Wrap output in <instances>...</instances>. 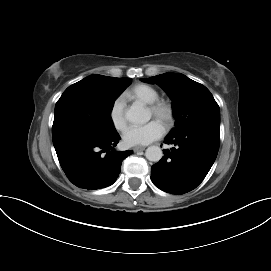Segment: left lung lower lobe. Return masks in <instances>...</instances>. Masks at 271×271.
Wrapping results in <instances>:
<instances>
[{
  "mask_svg": "<svg viewBox=\"0 0 271 271\" xmlns=\"http://www.w3.org/2000/svg\"><path fill=\"white\" fill-rule=\"evenodd\" d=\"M163 158L151 168L153 184L164 192L181 195L195 189L212 167L220 144V126L201 125L169 134Z\"/></svg>",
  "mask_w": 271,
  "mask_h": 271,
  "instance_id": "1",
  "label": "left lung lower lobe"
}]
</instances>
